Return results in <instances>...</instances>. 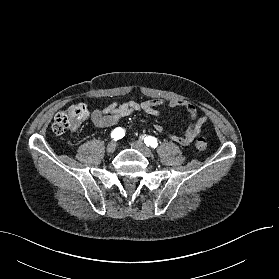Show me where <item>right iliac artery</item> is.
<instances>
[{
  "label": "right iliac artery",
  "mask_w": 279,
  "mask_h": 279,
  "mask_svg": "<svg viewBox=\"0 0 279 279\" xmlns=\"http://www.w3.org/2000/svg\"><path fill=\"white\" fill-rule=\"evenodd\" d=\"M125 132L124 129L118 127L116 129H114L111 133V138L115 141L121 139L124 136Z\"/></svg>",
  "instance_id": "1"
}]
</instances>
